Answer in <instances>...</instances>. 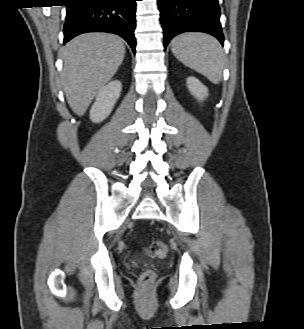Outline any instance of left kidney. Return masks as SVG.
<instances>
[{
	"instance_id": "5707ae66",
	"label": "left kidney",
	"mask_w": 304,
	"mask_h": 329,
	"mask_svg": "<svg viewBox=\"0 0 304 329\" xmlns=\"http://www.w3.org/2000/svg\"><path fill=\"white\" fill-rule=\"evenodd\" d=\"M187 87L191 94L202 101L205 97L208 96V89L205 85H203L197 78L195 77H188L187 78Z\"/></svg>"
}]
</instances>
